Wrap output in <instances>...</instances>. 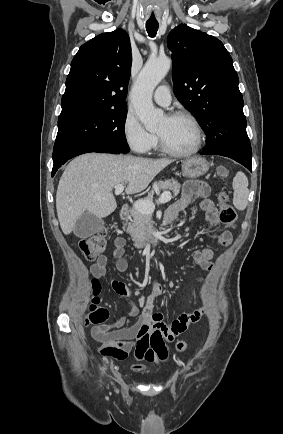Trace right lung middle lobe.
<instances>
[{
    "label": "right lung middle lobe",
    "mask_w": 283,
    "mask_h": 434,
    "mask_svg": "<svg viewBox=\"0 0 283 434\" xmlns=\"http://www.w3.org/2000/svg\"><path fill=\"white\" fill-rule=\"evenodd\" d=\"M127 108L73 113L58 118L53 162L91 146H105L128 153L124 126Z\"/></svg>",
    "instance_id": "1"
}]
</instances>
